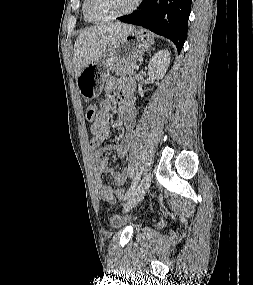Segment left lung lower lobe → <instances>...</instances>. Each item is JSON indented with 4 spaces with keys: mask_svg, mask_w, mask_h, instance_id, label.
<instances>
[{
    "mask_svg": "<svg viewBox=\"0 0 253 285\" xmlns=\"http://www.w3.org/2000/svg\"><path fill=\"white\" fill-rule=\"evenodd\" d=\"M192 0H145L129 15L119 17L121 22L140 25L162 35L177 47L184 45Z\"/></svg>",
    "mask_w": 253,
    "mask_h": 285,
    "instance_id": "0a47b994",
    "label": "left lung lower lobe"
}]
</instances>
